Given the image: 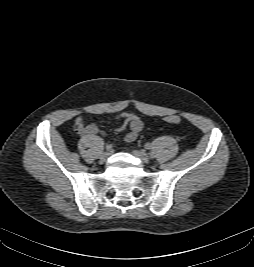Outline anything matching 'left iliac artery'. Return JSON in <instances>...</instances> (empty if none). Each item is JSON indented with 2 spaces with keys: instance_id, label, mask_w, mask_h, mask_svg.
Wrapping results in <instances>:
<instances>
[{
  "instance_id": "44dca946",
  "label": "left iliac artery",
  "mask_w": 254,
  "mask_h": 267,
  "mask_svg": "<svg viewBox=\"0 0 254 267\" xmlns=\"http://www.w3.org/2000/svg\"><path fill=\"white\" fill-rule=\"evenodd\" d=\"M144 147L148 150L151 149V145L149 143L145 144Z\"/></svg>"
}]
</instances>
